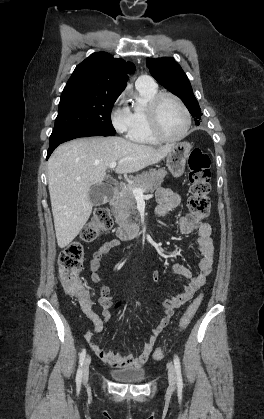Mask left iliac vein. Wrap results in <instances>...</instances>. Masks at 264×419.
I'll use <instances>...</instances> for the list:
<instances>
[{
    "mask_svg": "<svg viewBox=\"0 0 264 419\" xmlns=\"http://www.w3.org/2000/svg\"><path fill=\"white\" fill-rule=\"evenodd\" d=\"M168 379L170 388L174 389L176 386L177 378L174 365L171 362L168 363Z\"/></svg>",
    "mask_w": 264,
    "mask_h": 419,
    "instance_id": "1",
    "label": "left iliac vein"
}]
</instances>
